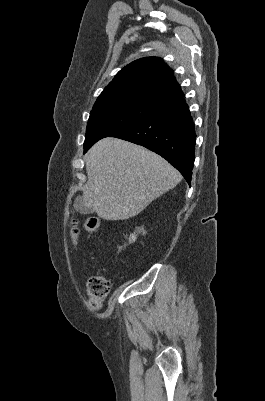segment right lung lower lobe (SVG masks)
Returning <instances> with one entry per match:
<instances>
[{
    "label": "right lung lower lobe",
    "instance_id": "obj_1",
    "mask_svg": "<svg viewBox=\"0 0 265 401\" xmlns=\"http://www.w3.org/2000/svg\"><path fill=\"white\" fill-rule=\"evenodd\" d=\"M116 137L161 155L191 184L195 160V126L185 98L169 102L137 122L113 131Z\"/></svg>",
    "mask_w": 265,
    "mask_h": 401
}]
</instances>
